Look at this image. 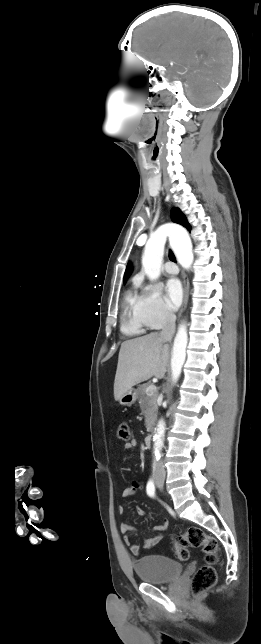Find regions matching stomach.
<instances>
[{
	"mask_svg": "<svg viewBox=\"0 0 261 644\" xmlns=\"http://www.w3.org/2000/svg\"><path fill=\"white\" fill-rule=\"evenodd\" d=\"M137 397H138L137 391L134 389H130L120 397L119 402L121 405L131 406L132 404L135 403Z\"/></svg>",
	"mask_w": 261,
	"mask_h": 644,
	"instance_id": "stomach-1",
	"label": "stomach"
}]
</instances>
